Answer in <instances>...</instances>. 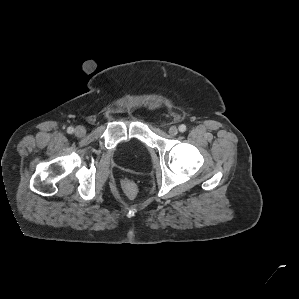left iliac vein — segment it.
Returning <instances> with one entry per match:
<instances>
[{
	"label": "left iliac vein",
	"instance_id": "1",
	"mask_svg": "<svg viewBox=\"0 0 299 299\" xmlns=\"http://www.w3.org/2000/svg\"><path fill=\"white\" fill-rule=\"evenodd\" d=\"M168 132L171 136H176L178 134V128L176 126H172L169 128Z\"/></svg>",
	"mask_w": 299,
	"mask_h": 299
}]
</instances>
